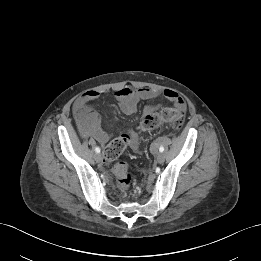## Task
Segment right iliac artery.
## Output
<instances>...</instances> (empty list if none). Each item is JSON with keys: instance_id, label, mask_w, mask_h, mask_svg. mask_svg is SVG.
I'll return each instance as SVG.
<instances>
[{"instance_id": "82829eb1", "label": "right iliac artery", "mask_w": 261, "mask_h": 261, "mask_svg": "<svg viewBox=\"0 0 261 261\" xmlns=\"http://www.w3.org/2000/svg\"><path fill=\"white\" fill-rule=\"evenodd\" d=\"M95 151H96L97 153H100V148H99V147H96V148H95Z\"/></svg>"}]
</instances>
